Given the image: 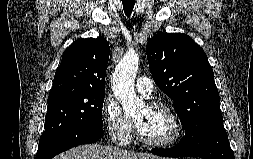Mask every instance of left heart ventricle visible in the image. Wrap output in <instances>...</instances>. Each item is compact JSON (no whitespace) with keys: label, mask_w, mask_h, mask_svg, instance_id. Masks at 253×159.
<instances>
[{"label":"left heart ventricle","mask_w":253,"mask_h":159,"mask_svg":"<svg viewBox=\"0 0 253 159\" xmlns=\"http://www.w3.org/2000/svg\"><path fill=\"white\" fill-rule=\"evenodd\" d=\"M134 119L142 134L149 140H165L174 133L172 118L162 109L144 106L136 113Z\"/></svg>","instance_id":"b2bd125f"}]
</instances>
